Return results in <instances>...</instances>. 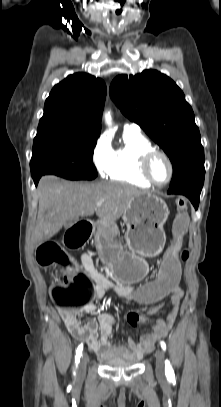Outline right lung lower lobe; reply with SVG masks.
<instances>
[{
    "mask_svg": "<svg viewBox=\"0 0 221 407\" xmlns=\"http://www.w3.org/2000/svg\"><path fill=\"white\" fill-rule=\"evenodd\" d=\"M39 179H40V176H34L33 177V180H34V183H35L36 186L38 184Z\"/></svg>",
    "mask_w": 221,
    "mask_h": 407,
    "instance_id": "obj_1",
    "label": "right lung lower lobe"
}]
</instances>
